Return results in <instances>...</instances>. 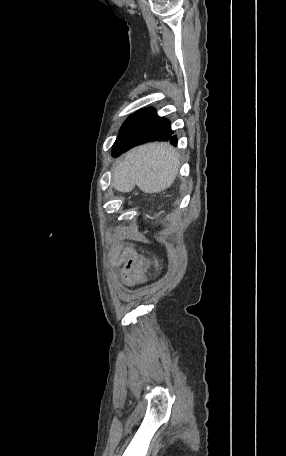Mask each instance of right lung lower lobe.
I'll return each mask as SVG.
<instances>
[{
    "label": "right lung lower lobe",
    "mask_w": 286,
    "mask_h": 456,
    "mask_svg": "<svg viewBox=\"0 0 286 456\" xmlns=\"http://www.w3.org/2000/svg\"><path fill=\"white\" fill-rule=\"evenodd\" d=\"M123 139L112 150V156L117 157L131 147L149 141H170L177 144L168 119L159 117L153 108H145L132 114L123 125Z\"/></svg>",
    "instance_id": "98d812e1"
}]
</instances>
